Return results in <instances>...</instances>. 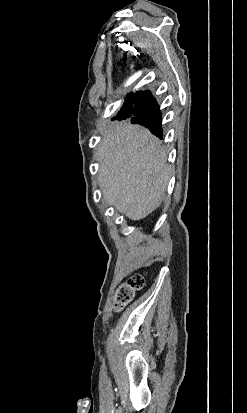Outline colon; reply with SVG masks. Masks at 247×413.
<instances>
[{
  "instance_id": "5ec220e1",
  "label": "colon",
  "mask_w": 247,
  "mask_h": 413,
  "mask_svg": "<svg viewBox=\"0 0 247 413\" xmlns=\"http://www.w3.org/2000/svg\"><path fill=\"white\" fill-rule=\"evenodd\" d=\"M144 285V274H133L129 276L117 289L114 309L116 311L122 310L128 303H130L135 291L141 290Z\"/></svg>"
}]
</instances>
